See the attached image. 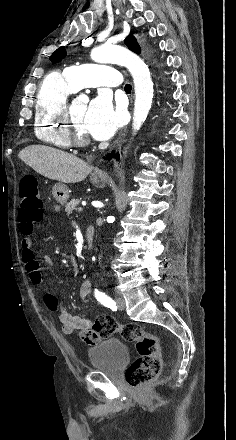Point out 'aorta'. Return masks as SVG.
Here are the masks:
<instances>
[{
  "label": "aorta",
  "mask_w": 236,
  "mask_h": 440,
  "mask_svg": "<svg viewBox=\"0 0 236 440\" xmlns=\"http://www.w3.org/2000/svg\"><path fill=\"white\" fill-rule=\"evenodd\" d=\"M97 63H112L125 66L134 81L135 103L133 130L138 131L145 122L153 99V82L148 66L135 53L119 45H102L91 52Z\"/></svg>",
  "instance_id": "aorta-1"
}]
</instances>
